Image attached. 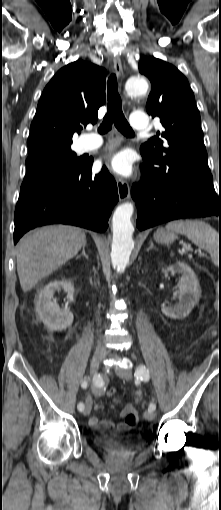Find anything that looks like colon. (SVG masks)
Listing matches in <instances>:
<instances>
[{
	"instance_id": "5ec220e1",
	"label": "colon",
	"mask_w": 221,
	"mask_h": 510,
	"mask_svg": "<svg viewBox=\"0 0 221 510\" xmlns=\"http://www.w3.org/2000/svg\"><path fill=\"white\" fill-rule=\"evenodd\" d=\"M210 334H211V335H214V334H215V331H214V330H211V331H210ZM115 393H116V389H115V388H113V387H112V388H110V389L108 390V395H109V396H111V397H112V396H114V395H115ZM114 402H115V403H119V400H118V399H115V400H114ZM137 421H138V414H137V412H136L135 410H134V411H131V412H129V413L127 414L126 419H125V423H126L127 425H129V426H132V427H133V426H135V425H136Z\"/></svg>"
}]
</instances>
